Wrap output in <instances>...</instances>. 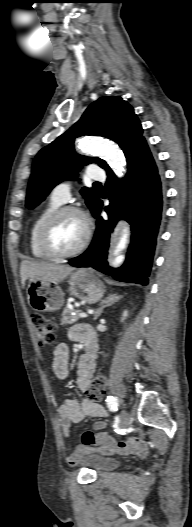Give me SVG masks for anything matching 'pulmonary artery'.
Returning a JSON list of instances; mask_svg holds the SVG:
<instances>
[{
  "mask_svg": "<svg viewBox=\"0 0 192 527\" xmlns=\"http://www.w3.org/2000/svg\"><path fill=\"white\" fill-rule=\"evenodd\" d=\"M87 176L97 181H103L105 179L104 171L97 166H90L87 169ZM71 188L72 185L70 182H62L53 188L51 198L57 202L65 203L70 199Z\"/></svg>",
  "mask_w": 192,
  "mask_h": 527,
  "instance_id": "obj_1",
  "label": "pulmonary artery"
}]
</instances>
